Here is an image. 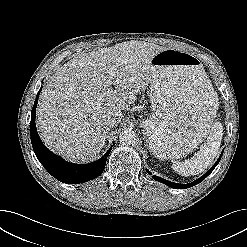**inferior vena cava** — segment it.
Returning a JSON list of instances; mask_svg holds the SVG:
<instances>
[{"label":"inferior vena cava","instance_id":"obj_1","mask_svg":"<svg viewBox=\"0 0 247 247\" xmlns=\"http://www.w3.org/2000/svg\"><path fill=\"white\" fill-rule=\"evenodd\" d=\"M121 121V114L113 113L111 115H107L106 124L109 127H114Z\"/></svg>","mask_w":247,"mask_h":247}]
</instances>
